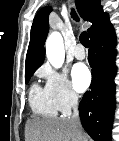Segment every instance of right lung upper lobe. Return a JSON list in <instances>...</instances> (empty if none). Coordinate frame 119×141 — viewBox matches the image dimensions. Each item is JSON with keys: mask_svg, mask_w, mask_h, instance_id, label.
<instances>
[{"mask_svg": "<svg viewBox=\"0 0 119 141\" xmlns=\"http://www.w3.org/2000/svg\"><path fill=\"white\" fill-rule=\"evenodd\" d=\"M77 9L81 17L92 23L88 29L89 37L92 35L96 27L108 18V14L103 12L100 0H76ZM51 7L42 8L35 16L31 27V39L26 56L25 73L35 72L44 61V42L47 37L49 25L48 16Z\"/></svg>", "mask_w": 119, "mask_h": 141, "instance_id": "1", "label": "right lung upper lobe"}]
</instances>
